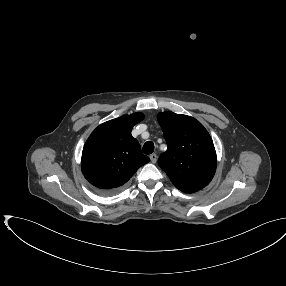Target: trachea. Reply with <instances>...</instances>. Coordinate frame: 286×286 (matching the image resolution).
I'll list each match as a JSON object with an SVG mask.
<instances>
[{"label": "trachea", "mask_w": 286, "mask_h": 286, "mask_svg": "<svg viewBox=\"0 0 286 286\" xmlns=\"http://www.w3.org/2000/svg\"><path fill=\"white\" fill-rule=\"evenodd\" d=\"M154 151V143L152 141H147L143 146V152L145 154H151Z\"/></svg>", "instance_id": "obj_1"}]
</instances>
